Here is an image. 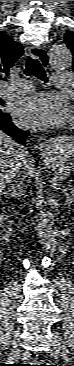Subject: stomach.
<instances>
[{
  "mask_svg": "<svg viewBox=\"0 0 74 366\" xmlns=\"http://www.w3.org/2000/svg\"><path fill=\"white\" fill-rule=\"evenodd\" d=\"M53 147L54 148H63V147H71L72 148V145L69 141H66V140H58L57 142H55L53 144ZM44 155H46V153H44Z\"/></svg>",
  "mask_w": 74,
  "mask_h": 366,
  "instance_id": "stomach-1",
  "label": "stomach"
}]
</instances>
